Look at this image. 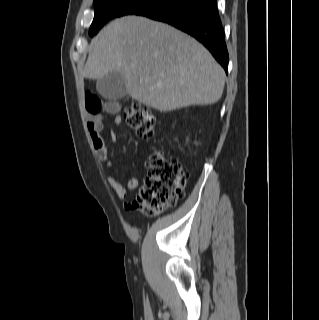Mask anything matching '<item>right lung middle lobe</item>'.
I'll list each match as a JSON object with an SVG mask.
<instances>
[{
    "mask_svg": "<svg viewBox=\"0 0 319 320\" xmlns=\"http://www.w3.org/2000/svg\"><path fill=\"white\" fill-rule=\"evenodd\" d=\"M166 1L168 0H94L95 16L89 35L94 36L112 18L127 14H138Z\"/></svg>",
    "mask_w": 319,
    "mask_h": 320,
    "instance_id": "obj_1",
    "label": "right lung middle lobe"
}]
</instances>
